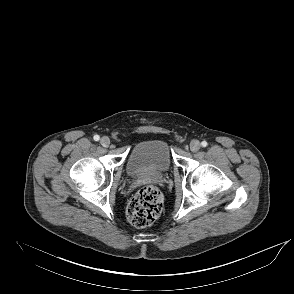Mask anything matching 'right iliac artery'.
I'll return each instance as SVG.
<instances>
[{"label":"right iliac artery","instance_id":"1","mask_svg":"<svg viewBox=\"0 0 294 294\" xmlns=\"http://www.w3.org/2000/svg\"><path fill=\"white\" fill-rule=\"evenodd\" d=\"M93 138H94L95 141H98L100 139L99 135H94Z\"/></svg>","mask_w":294,"mask_h":294}]
</instances>
